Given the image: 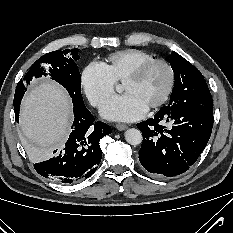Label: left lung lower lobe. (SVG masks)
Segmentation results:
<instances>
[{"instance_id": "left-lung-lower-lobe-1", "label": "left lung lower lobe", "mask_w": 233, "mask_h": 233, "mask_svg": "<svg viewBox=\"0 0 233 233\" xmlns=\"http://www.w3.org/2000/svg\"><path fill=\"white\" fill-rule=\"evenodd\" d=\"M213 121V114L162 107L153 118L137 124L143 134L140 163L160 176L184 173L206 147Z\"/></svg>"}]
</instances>
